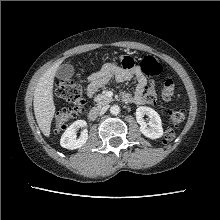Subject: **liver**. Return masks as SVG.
<instances>
[{
  "instance_id": "1",
  "label": "liver",
  "mask_w": 220,
  "mask_h": 220,
  "mask_svg": "<svg viewBox=\"0 0 220 220\" xmlns=\"http://www.w3.org/2000/svg\"><path fill=\"white\" fill-rule=\"evenodd\" d=\"M61 60L51 66L39 79L34 91V113L42 133L49 137L51 123L55 114L53 100L54 77L61 64Z\"/></svg>"
}]
</instances>
